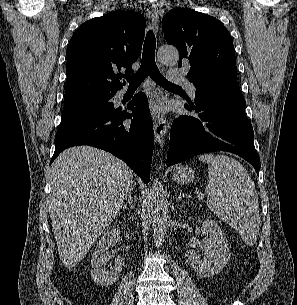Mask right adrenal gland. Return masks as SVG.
Listing matches in <instances>:
<instances>
[{"label": "right adrenal gland", "mask_w": 297, "mask_h": 305, "mask_svg": "<svg viewBox=\"0 0 297 305\" xmlns=\"http://www.w3.org/2000/svg\"><path fill=\"white\" fill-rule=\"evenodd\" d=\"M127 206H130L131 209L135 208V204L133 203V197H132L131 190L129 191L127 203L123 206L122 209L123 210L127 209Z\"/></svg>", "instance_id": "right-adrenal-gland-1"}]
</instances>
